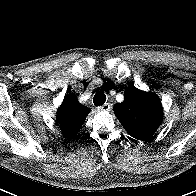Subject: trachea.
Here are the masks:
<instances>
[{
  "label": "trachea",
  "instance_id": "1",
  "mask_svg": "<svg viewBox=\"0 0 196 196\" xmlns=\"http://www.w3.org/2000/svg\"><path fill=\"white\" fill-rule=\"evenodd\" d=\"M94 104L96 105H103L106 101V95L102 91H98L94 95Z\"/></svg>",
  "mask_w": 196,
  "mask_h": 196
}]
</instances>
